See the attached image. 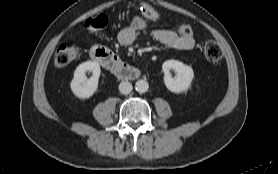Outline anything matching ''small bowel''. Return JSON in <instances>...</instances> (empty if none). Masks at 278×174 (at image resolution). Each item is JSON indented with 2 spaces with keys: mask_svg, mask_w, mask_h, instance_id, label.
<instances>
[{
  "mask_svg": "<svg viewBox=\"0 0 278 174\" xmlns=\"http://www.w3.org/2000/svg\"><path fill=\"white\" fill-rule=\"evenodd\" d=\"M147 28V22L141 17H134L118 33V41L121 45H131L138 33ZM151 36L159 43L177 50H191L195 46L193 37H184L169 29H157L151 31Z\"/></svg>",
  "mask_w": 278,
  "mask_h": 174,
  "instance_id": "1",
  "label": "small bowel"
}]
</instances>
